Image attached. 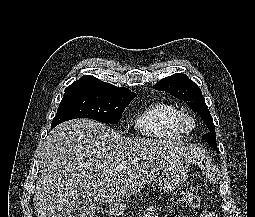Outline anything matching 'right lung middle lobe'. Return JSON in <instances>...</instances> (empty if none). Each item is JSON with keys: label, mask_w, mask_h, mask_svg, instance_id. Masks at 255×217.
Segmentation results:
<instances>
[{"label": "right lung middle lobe", "mask_w": 255, "mask_h": 217, "mask_svg": "<svg viewBox=\"0 0 255 217\" xmlns=\"http://www.w3.org/2000/svg\"><path fill=\"white\" fill-rule=\"evenodd\" d=\"M136 95L65 91L51 127L76 118L114 124Z\"/></svg>", "instance_id": "obj_1"}]
</instances>
